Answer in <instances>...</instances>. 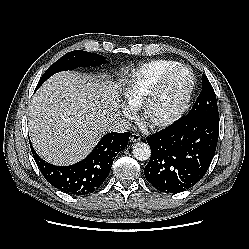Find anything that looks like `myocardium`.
I'll return each mask as SVG.
<instances>
[{"mask_svg": "<svg viewBox=\"0 0 249 249\" xmlns=\"http://www.w3.org/2000/svg\"><path fill=\"white\" fill-rule=\"evenodd\" d=\"M182 69L187 70L190 75V82L186 91L174 109L165 115H156V109L163 99L169 80L176 72ZM195 84V74L188 65L178 64L167 70L142 105L143 121L153 128H165L177 122L186 113L190 105Z\"/></svg>", "mask_w": 249, "mask_h": 249, "instance_id": "f54148a6", "label": "myocardium"}]
</instances>
